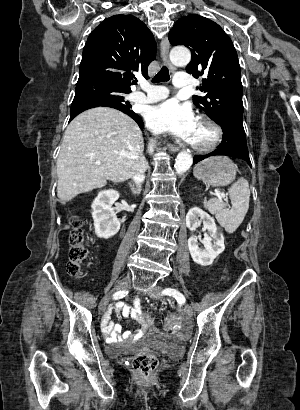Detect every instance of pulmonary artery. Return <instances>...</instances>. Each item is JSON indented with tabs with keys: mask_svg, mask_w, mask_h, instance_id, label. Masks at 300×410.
Wrapping results in <instances>:
<instances>
[{
	"mask_svg": "<svg viewBox=\"0 0 300 410\" xmlns=\"http://www.w3.org/2000/svg\"><path fill=\"white\" fill-rule=\"evenodd\" d=\"M174 86L177 88L188 87L192 85V76L188 73L179 72L175 75ZM141 90L132 94L131 98L139 104H149L166 98L168 90L161 86H154L147 82L140 84Z\"/></svg>",
	"mask_w": 300,
	"mask_h": 410,
	"instance_id": "obj_1",
	"label": "pulmonary artery"
}]
</instances>
